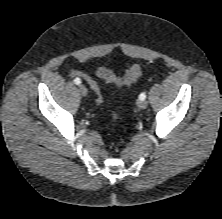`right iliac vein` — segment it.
Masks as SVG:
<instances>
[{
    "label": "right iliac vein",
    "instance_id": "63e3f726",
    "mask_svg": "<svg viewBox=\"0 0 222 219\" xmlns=\"http://www.w3.org/2000/svg\"><path fill=\"white\" fill-rule=\"evenodd\" d=\"M79 91L82 96H86L88 94V90L83 84L79 85Z\"/></svg>",
    "mask_w": 222,
    "mask_h": 219
}]
</instances>
